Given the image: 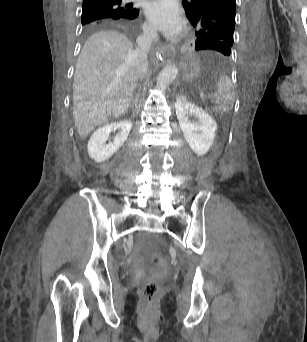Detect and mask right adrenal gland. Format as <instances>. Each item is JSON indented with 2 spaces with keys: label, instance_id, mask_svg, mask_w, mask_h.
I'll list each match as a JSON object with an SVG mask.
<instances>
[{
  "label": "right adrenal gland",
  "instance_id": "obj_1",
  "mask_svg": "<svg viewBox=\"0 0 307 342\" xmlns=\"http://www.w3.org/2000/svg\"><path fill=\"white\" fill-rule=\"evenodd\" d=\"M132 106H133V108H136V106H137V102H136V100H133V104H132Z\"/></svg>",
  "mask_w": 307,
  "mask_h": 342
}]
</instances>
